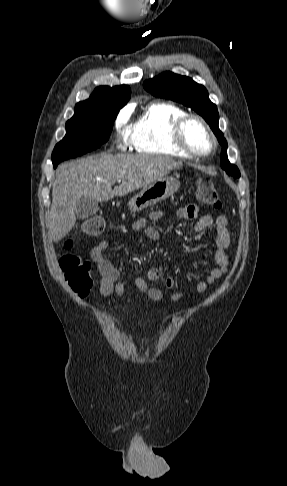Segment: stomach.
Listing matches in <instances>:
<instances>
[{
    "label": "stomach",
    "instance_id": "0dacf381",
    "mask_svg": "<svg viewBox=\"0 0 287 486\" xmlns=\"http://www.w3.org/2000/svg\"><path fill=\"white\" fill-rule=\"evenodd\" d=\"M180 187V181L174 177L165 176L135 194L128 202L131 211H141L150 205L161 202L173 195Z\"/></svg>",
    "mask_w": 287,
    "mask_h": 486
}]
</instances>
